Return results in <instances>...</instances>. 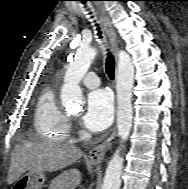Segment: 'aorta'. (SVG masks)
<instances>
[{
    "label": "aorta",
    "instance_id": "762f6f07",
    "mask_svg": "<svg viewBox=\"0 0 188 189\" xmlns=\"http://www.w3.org/2000/svg\"><path fill=\"white\" fill-rule=\"evenodd\" d=\"M97 54L96 49L81 47L70 62L61 89V103L69 110H77L82 105V91L79 83L87 73ZM134 66L125 51L118 54V69L116 75L117 91V130L122 141L127 140L132 127V88L134 84ZM121 147L114 153L108 163L102 189H120L123 157Z\"/></svg>",
    "mask_w": 188,
    "mask_h": 189
}]
</instances>
